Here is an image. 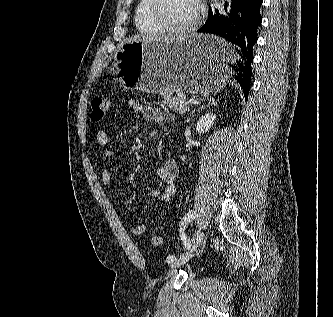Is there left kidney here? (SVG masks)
<instances>
[{"label": "left kidney", "instance_id": "obj_1", "mask_svg": "<svg viewBox=\"0 0 333 317\" xmlns=\"http://www.w3.org/2000/svg\"><path fill=\"white\" fill-rule=\"evenodd\" d=\"M215 119H216L215 114L213 113L205 114L198 120L196 125V131L202 134L208 132L211 126H213Z\"/></svg>", "mask_w": 333, "mask_h": 317}]
</instances>
